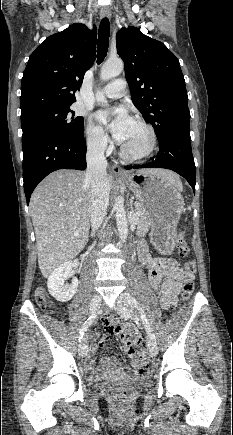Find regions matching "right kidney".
Returning a JSON list of instances; mask_svg holds the SVG:
<instances>
[{"label": "right kidney", "mask_w": 233, "mask_h": 435, "mask_svg": "<svg viewBox=\"0 0 233 435\" xmlns=\"http://www.w3.org/2000/svg\"><path fill=\"white\" fill-rule=\"evenodd\" d=\"M72 261H67L57 267L49 276L47 287L49 293L60 302H67L75 295L78 287V279L73 278L70 285L65 284L72 271Z\"/></svg>", "instance_id": "ca27d5eb"}]
</instances>
